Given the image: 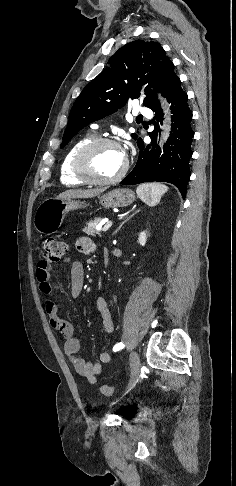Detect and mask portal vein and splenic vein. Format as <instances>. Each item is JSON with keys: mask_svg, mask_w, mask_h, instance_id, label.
Listing matches in <instances>:
<instances>
[{"mask_svg": "<svg viewBox=\"0 0 236 486\" xmlns=\"http://www.w3.org/2000/svg\"><path fill=\"white\" fill-rule=\"evenodd\" d=\"M112 224H113V223H112V221L107 222V223H106V224L103 226L102 231H104V232L108 231V230L110 229V227L112 226ZM100 229H101V227H100V226H97V230H100Z\"/></svg>", "mask_w": 236, "mask_h": 486, "instance_id": "obj_1", "label": "portal vein and splenic vein"}]
</instances>
